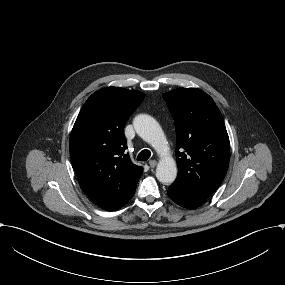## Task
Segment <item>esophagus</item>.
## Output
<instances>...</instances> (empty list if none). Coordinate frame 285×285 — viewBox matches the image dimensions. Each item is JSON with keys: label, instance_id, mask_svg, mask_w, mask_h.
<instances>
[{"label": "esophagus", "instance_id": "34e87169", "mask_svg": "<svg viewBox=\"0 0 285 285\" xmlns=\"http://www.w3.org/2000/svg\"><path fill=\"white\" fill-rule=\"evenodd\" d=\"M148 164H149V166H150L151 168H154V167L157 165V161H156V160H150V161L148 162Z\"/></svg>", "mask_w": 285, "mask_h": 285}]
</instances>
